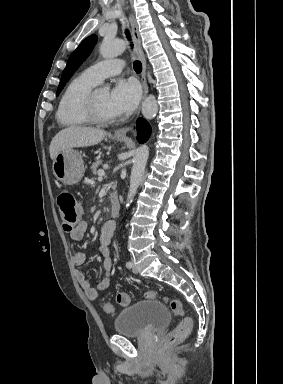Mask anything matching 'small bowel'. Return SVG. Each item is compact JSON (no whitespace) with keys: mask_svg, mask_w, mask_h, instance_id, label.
<instances>
[{"mask_svg":"<svg viewBox=\"0 0 283 384\" xmlns=\"http://www.w3.org/2000/svg\"><path fill=\"white\" fill-rule=\"evenodd\" d=\"M116 224L113 220L105 222L101 228V234L99 238L100 246L99 251L103 257V267L105 270V277L97 284V286H92L89 280L85 277V274L82 271L76 272V278L78 283L85 293V295L90 300H96L99 297L100 292L108 289L110 285V273L113 265L112 257L109 253V245L111 239L115 232ZM87 230V223L85 221H80L77 226L70 231L71 239L79 241L83 238ZM86 261V254L84 252H75L72 255V263L74 266H82Z\"/></svg>","mask_w":283,"mask_h":384,"instance_id":"1","label":"small bowel"}]
</instances>
